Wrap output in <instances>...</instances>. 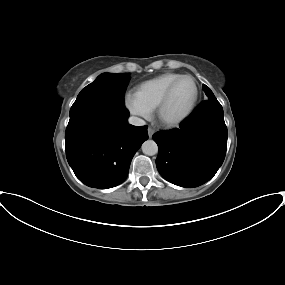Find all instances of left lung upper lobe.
I'll return each mask as SVG.
<instances>
[{
    "instance_id": "5c2ea615",
    "label": "left lung upper lobe",
    "mask_w": 285,
    "mask_h": 285,
    "mask_svg": "<svg viewBox=\"0 0 285 285\" xmlns=\"http://www.w3.org/2000/svg\"><path fill=\"white\" fill-rule=\"evenodd\" d=\"M203 89L205 93L207 94L208 99L215 98L213 92L209 89V87H207L206 85H203Z\"/></svg>"
}]
</instances>
